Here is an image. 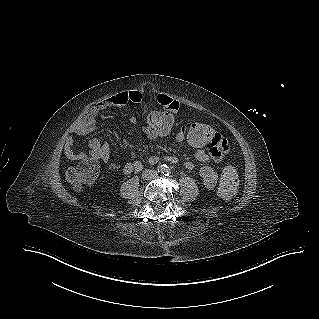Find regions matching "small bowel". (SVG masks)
Segmentation results:
<instances>
[{"mask_svg": "<svg viewBox=\"0 0 319 319\" xmlns=\"http://www.w3.org/2000/svg\"><path fill=\"white\" fill-rule=\"evenodd\" d=\"M155 100L156 108H164L165 113H177L178 108L181 107L180 99H171L170 97L163 94H158ZM142 101L143 94L139 90H130L111 95L86 110L72 125L71 133L81 136L88 135L89 133H91L94 122L101 112L107 109L121 108L128 104H138ZM185 132L186 129L183 128L177 133V142H187ZM213 134L214 135L210 137V142L214 144L211 149L206 151L196 149L195 151V158L198 161L204 163V166L201 167L199 174L204 186L208 189H214L219 180V174L211 166V163L221 162L225 154L227 153V144L224 142V139L222 137H218L220 134L219 131L216 130ZM80 146L81 145L76 142L71 136H68L65 141V153L67 157L76 159L77 156L73 152V148ZM88 149L91 155L97 157V159L101 161H107L110 157L109 146L101 141L99 138L91 139L88 143ZM130 154L132 161L124 167V172L127 174L133 171H138L142 168V163L135 159L136 152L132 150ZM162 161L177 163L178 159L173 156H151L149 158L150 164H157ZM184 167L187 170H192L194 168V164L191 161H186L184 163Z\"/></svg>", "mask_w": 319, "mask_h": 319, "instance_id": "small-bowel-1", "label": "small bowel"}]
</instances>
